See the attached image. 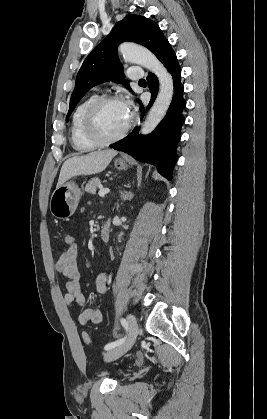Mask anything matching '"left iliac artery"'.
<instances>
[{
	"instance_id": "1",
	"label": "left iliac artery",
	"mask_w": 267,
	"mask_h": 419,
	"mask_svg": "<svg viewBox=\"0 0 267 419\" xmlns=\"http://www.w3.org/2000/svg\"><path fill=\"white\" fill-rule=\"evenodd\" d=\"M120 322H121V324H122V326L126 329V331L128 330V322L126 321V319H124V318H122L121 320H120ZM125 340V337H123V338H120V339H118V340H116V341H114V342H111V343H108L106 346H105V350H110V349H112V348H114V347H116V346H118V345H120L123 341Z\"/></svg>"
}]
</instances>
